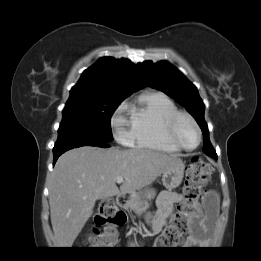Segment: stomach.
Instances as JSON below:
<instances>
[{
  "label": "stomach",
  "instance_id": "0dacf381",
  "mask_svg": "<svg viewBox=\"0 0 261 261\" xmlns=\"http://www.w3.org/2000/svg\"><path fill=\"white\" fill-rule=\"evenodd\" d=\"M184 169V163L181 160H179L169 170L165 171L162 174V183L164 187L168 190H172L178 187L182 182L184 176ZM154 195L155 191L153 189H146L143 193L132 195L127 205L132 208L135 204L142 202L141 199H148L153 197Z\"/></svg>",
  "mask_w": 261,
  "mask_h": 261
}]
</instances>
